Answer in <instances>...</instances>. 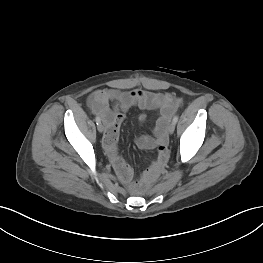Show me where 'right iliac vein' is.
Wrapping results in <instances>:
<instances>
[{"label":"right iliac vein","mask_w":263,"mask_h":263,"mask_svg":"<svg viewBox=\"0 0 263 263\" xmlns=\"http://www.w3.org/2000/svg\"><path fill=\"white\" fill-rule=\"evenodd\" d=\"M97 129H98V131H99L100 133L104 132V126H103V124H102V123H99V124L97 125Z\"/></svg>","instance_id":"right-iliac-vein-1"}]
</instances>
